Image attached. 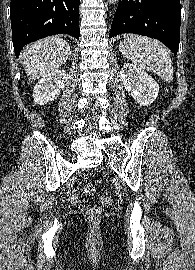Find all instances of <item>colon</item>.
<instances>
[{
  "label": "colon",
  "mask_w": 195,
  "mask_h": 270,
  "mask_svg": "<svg viewBox=\"0 0 195 270\" xmlns=\"http://www.w3.org/2000/svg\"><path fill=\"white\" fill-rule=\"evenodd\" d=\"M84 193L86 194H93L95 192V188L91 185L84 187ZM112 203V199L110 197H104L102 199V204L104 206H109ZM101 215V208L99 206H92L87 210V216L91 220H96Z\"/></svg>",
  "instance_id": "5ec220e1"
}]
</instances>
